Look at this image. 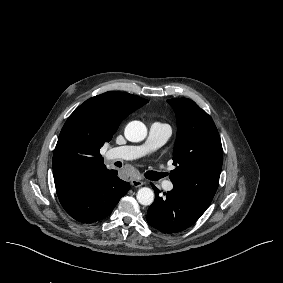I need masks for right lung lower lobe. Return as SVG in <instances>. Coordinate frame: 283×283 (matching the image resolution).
I'll return each mask as SVG.
<instances>
[{
	"label": "right lung lower lobe",
	"instance_id": "1",
	"mask_svg": "<svg viewBox=\"0 0 283 283\" xmlns=\"http://www.w3.org/2000/svg\"><path fill=\"white\" fill-rule=\"evenodd\" d=\"M130 188L107 168L96 173L85 185L67 195L58 196L65 211L75 220L92 223L109 216Z\"/></svg>",
	"mask_w": 283,
	"mask_h": 283
}]
</instances>
